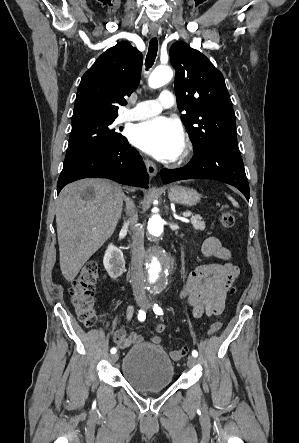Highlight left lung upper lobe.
<instances>
[{
	"label": "left lung upper lobe",
	"mask_w": 299,
	"mask_h": 443,
	"mask_svg": "<svg viewBox=\"0 0 299 443\" xmlns=\"http://www.w3.org/2000/svg\"><path fill=\"white\" fill-rule=\"evenodd\" d=\"M176 69L175 91L182 121L194 143V152L219 145L239 150L235 114L222 73L189 45L176 42L170 49Z\"/></svg>",
	"instance_id": "5c2ea615"
}]
</instances>
